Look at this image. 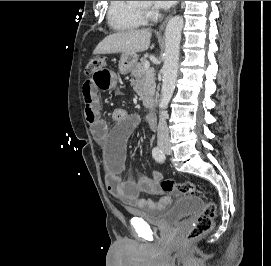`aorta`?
<instances>
[{
	"instance_id": "obj_1",
	"label": "aorta",
	"mask_w": 271,
	"mask_h": 266,
	"mask_svg": "<svg viewBox=\"0 0 271 266\" xmlns=\"http://www.w3.org/2000/svg\"><path fill=\"white\" fill-rule=\"evenodd\" d=\"M183 26V18L181 16H174L168 21L165 29V52L162 68L163 82L159 102L161 109L167 108L175 89Z\"/></svg>"
}]
</instances>
